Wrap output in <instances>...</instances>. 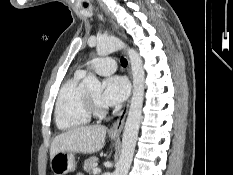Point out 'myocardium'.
Here are the masks:
<instances>
[{
    "label": "myocardium",
    "instance_id": "f54148a6",
    "mask_svg": "<svg viewBox=\"0 0 233 175\" xmlns=\"http://www.w3.org/2000/svg\"><path fill=\"white\" fill-rule=\"evenodd\" d=\"M84 107L90 117H102L106 113L103 104L94 101L88 94L84 95Z\"/></svg>",
    "mask_w": 233,
    "mask_h": 175
}]
</instances>
